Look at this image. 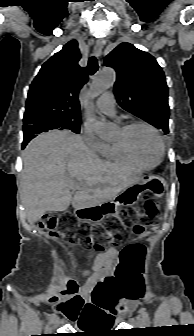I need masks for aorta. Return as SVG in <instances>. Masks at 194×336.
Returning a JSON list of instances; mask_svg holds the SVG:
<instances>
[{"instance_id": "1", "label": "aorta", "mask_w": 194, "mask_h": 336, "mask_svg": "<svg viewBox=\"0 0 194 336\" xmlns=\"http://www.w3.org/2000/svg\"><path fill=\"white\" fill-rule=\"evenodd\" d=\"M116 79L115 71L113 68L104 67L94 78L89 88V98L91 100L98 97L105 90L113 86ZM87 126L93 130L98 137L103 140L109 141L114 136V128L108 122L98 119L94 115H90L86 122Z\"/></svg>"}]
</instances>
